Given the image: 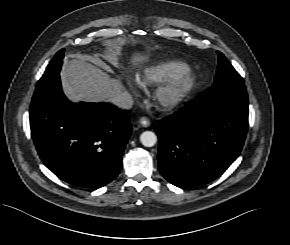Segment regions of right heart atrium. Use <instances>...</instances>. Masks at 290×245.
<instances>
[{
	"mask_svg": "<svg viewBox=\"0 0 290 245\" xmlns=\"http://www.w3.org/2000/svg\"><path fill=\"white\" fill-rule=\"evenodd\" d=\"M128 83L130 84V86L132 87V88H134L132 85H131V83L128 81Z\"/></svg>",
	"mask_w": 290,
	"mask_h": 245,
	"instance_id": "obj_1",
	"label": "right heart atrium"
}]
</instances>
